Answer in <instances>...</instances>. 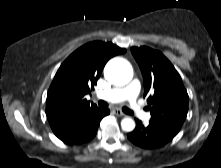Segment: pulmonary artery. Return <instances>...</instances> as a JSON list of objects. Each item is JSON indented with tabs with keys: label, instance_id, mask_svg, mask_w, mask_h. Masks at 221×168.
<instances>
[{
	"label": "pulmonary artery",
	"instance_id": "1",
	"mask_svg": "<svg viewBox=\"0 0 221 168\" xmlns=\"http://www.w3.org/2000/svg\"><path fill=\"white\" fill-rule=\"evenodd\" d=\"M140 91V82L134 79L131 83L124 87H116L109 90L99 92L98 98L117 103L121 101H128L130 110L142 120L150 119V114L145 112L137 103L136 99Z\"/></svg>",
	"mask_w": 221,
	"mask_h": 168
}]
</instances>
